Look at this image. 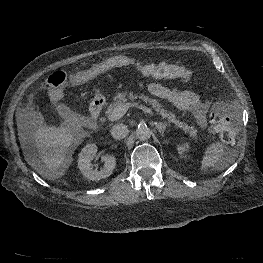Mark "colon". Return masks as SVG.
<instances>
[{
    "label": "colon",
    "instance_id": "5ec220e1",
    "mask_svg": "<svg viewBox=\"0 0 263 263\" xmlns=\"http://www.w3.org/2000/svg\"><path fill=\"white\" fill-rule=\"evenodd\" d=\"M114 68H132L144 76L154 78H180L189 81L192 77L190 70L179 63L146 64L124 55H116L75 73L68 74L62 70L55 71L48 80L51 96L55 101H58L66 87L85 83ZM211 118L213 130L218 133L222 142L233 143L236 132L229 116L217 109L212 112Z\"/></svg>",
    "mask_w": 263,
    "mask_h": 263
}]
</instances>
